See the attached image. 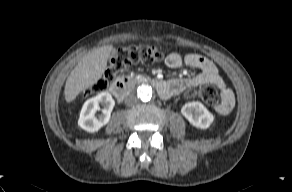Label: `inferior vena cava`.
I'll return each instance as SVG.
<instances>
[{
	"label": "inferior vena cava",
	"mask_w": 292,
	"mask_h": 192,
	"mask_svg": "<svg viewBox=\"0 0 292 192\" xmlns=\"http://www.w3.org/2000/svg\"><path fill=\"white\" fill-rule=\"evenodd\" d=\"M138 102V98L135 95H129L126 99H125V104L128 106H132L134 104H136Z\"/></svg>",
	"instance_id": "1"
}]
</instances>
